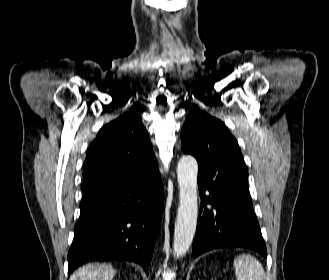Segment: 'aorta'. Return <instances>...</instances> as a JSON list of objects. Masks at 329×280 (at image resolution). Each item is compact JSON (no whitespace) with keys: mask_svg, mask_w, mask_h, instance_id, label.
Segmentation results:
<instances>
[{"mask_svg":"<svg viewBox=\"0 0 329 280\" xmlns=\"http://www.w3.org/2000/svg\"><path fill=\"white\" fill-rule=\"evenodd\" d=\"M197 175L196 159L192 156H183L177 165L179 207L173 237V250L177 258L188 252L196 232L198 217Z\"/></svg>","mask_w":329,"mask_h":280,"instance_id":"1","label":"aorta"}]
</instances>
